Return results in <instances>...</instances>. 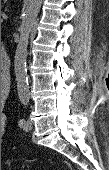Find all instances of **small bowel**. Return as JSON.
<instances>
[{
    "label": "small bowel",
    "mask_w": 109,
    "mask_h": 170,
    "mask_svg": "<svg viewBox=\"0 0 109 170\" xmlns=\"http://www.w3.org/2000/svg\"><path fill=\"white\" fill-rule=\"evenodd\" d=\"M6 125V116L4 114L1 115V128L4 129Z\"/></svg>",
    "instance_id": "small-bowel-1"
}]
</instances>
